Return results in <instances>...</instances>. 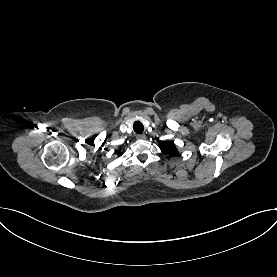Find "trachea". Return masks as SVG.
<instances>
[{"label": "trachea", "instance_id": "1", "mask_svg": "<svg viewBox=\"0 0 277 277\" xmlns=\"http://www.w3.org/2000/svg\"><path fill=\"white\" fill-rule=\"evenodd\" d=\"M133 129L137 134H141L144 131V126L140 121H136L133 124Z\"/></svg>", "mask_w": 277, "mask_h": 277}]
</instances>
